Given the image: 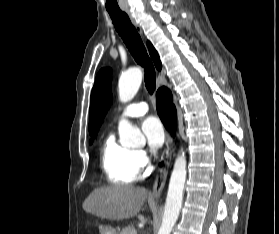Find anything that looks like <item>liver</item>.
<instances>
[{
    "instance_id": "6515ba94",
    "label": "liver",
    "mask_w": 279,
    "mask_h": 234,
    "mask_svg": "<svg viewBox=\"0 0 279 234\" xmlns=\"http://www.w3.org/2000/svg\"><path fill=\"white\" fill-rule=\"evenodd\" d=\"M147 198V191L132 185H113L97 188L83 202V209L97 217L123 220L139 213Z\"/></svg>"
}]
</instances>
